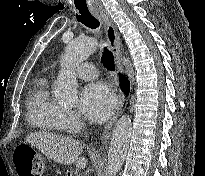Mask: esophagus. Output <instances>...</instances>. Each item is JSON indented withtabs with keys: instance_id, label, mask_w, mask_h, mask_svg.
Wrapping results in <instances>:
<instances>
[{
	"instance_id": "34e87169",
	"label": "esophagus",
	"mask_w": 205,
	"mask_h": 176,
	"mask_svg": "<svg viewBox=\"0 0 205 176\" xmlns=\"http://www.w3.org/2000/svg\"><path fill=\"white\" fill-rule=\"evenodd\" d=\"M93 14L102 22L104 26L107 42L114 55V63H115L117 72L123 73L124 67H123L122 59H121L120 39H119L116 25L114 24L109 13L103 6H99L93 9ZM124 101H125L124 93L121 89H119L118 104H117L115 113L113 117L111 118V120L105 125L104 130L101 134V138L105 136V134L110 130V128L113 126V124L116 122V120L120 116L123 106H124Z\"/></svg>"
}]
</instances>
